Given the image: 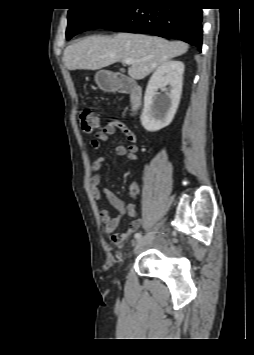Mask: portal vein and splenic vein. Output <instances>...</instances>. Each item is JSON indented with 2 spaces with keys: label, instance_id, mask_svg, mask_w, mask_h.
<instances>
[{
  "label": "portal vein and splenic vein",
  "instance_id": "obj_1",
  "mask_svg": "<svg viewBox=\"0 0 254 355\" xmlns=\"http://www.w3.org/2000/svg\"><path fill=\"white\" fill-rule=\"evenodd\" d=\"M124 63L127 64V65H131L133 63H135V60L131 59V58H127L124 60Z\"/></svg>",
  "mask_w": 254,
  "mask_h": 355
}]
</instances>
